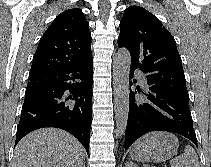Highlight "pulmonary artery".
<instances>
[{"instance_id":"e3ab8cb5","label":"pulmonary artery","mask_w":211,"mask_h":167,"mask_svg":"<svg viewBox=\"0 0 211 167\" xmlns=\"http://www.w3.org/2000/svg\"><path fill=\"white\" fill-rule=\"evenodd\" d=\"M139 80H140L142 85H146L145 78L142 75H139Z\"/></svg>"}]
</instances>
